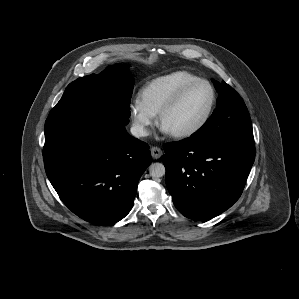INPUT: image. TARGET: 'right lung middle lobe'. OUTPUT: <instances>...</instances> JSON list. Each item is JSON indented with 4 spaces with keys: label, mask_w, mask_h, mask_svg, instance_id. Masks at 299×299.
Instances as JSON below:
<instances>
[{
    "label": "right lung middle lobe",
    "mask_w": 299,
    "mask_h": 299,
    "mask_svg": "<svg viewBox=\"0 0 299 299\" xmlns=\"http://www.w3.org/2000/svg\"><path fill=\"white\" fill-rule=\"evenodd\" d=\"M133 85L126 66L79 78L67 86L48 117H70L98 105H111L130 116Z\"/></svg>",
    "instance_id": "right-lung-middle-lobe-1"
}]
</instances>
